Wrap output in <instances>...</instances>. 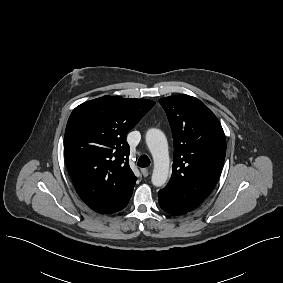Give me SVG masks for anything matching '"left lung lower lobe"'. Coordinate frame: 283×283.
Here are the masks:
<instances>
[{
    "instance_id": "left-lung-lower-lobe-1",
    "label": "left lung lower lobe",
    "mask_w": 283,
    "mask_h": 283,
    "mask_svg": "<svg viewBox=\"0 0 283 283\" xmlns=\"http://www.w3.org/2000/svg\"><path fill=\"white\" fill-rule=\"evenodd\" d=\"M158 201L161 208L171 215H183L190 211L180 206L174 196L165 188L158 192Z\"/></svg>"
}]
</instances>
